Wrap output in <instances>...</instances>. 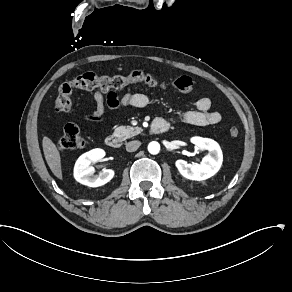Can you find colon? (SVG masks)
I'll return each instance as SVG.
<instances>
[{"instance_id":"colon-1","label":"colon","mask_w":292,"mask_h":292,"mask_svg":"<svg viewBox=\"0 0 292 292\" xmlns=\"http://www.w3.org/2000/svg\"><path fill=\"white\" fill-rule=\"evenodd\" d=\"M133 83H144L150 87L162 90H178L186 94L195 91L194 82L187 75H182L174 80H163L159 79L154 72L144 69H132L126 75L116 76H103L93 72H87L60 85L55 99V109L62 114L69 113L73 105V93L76 90L122 89ZM229 134L235 138L239 135V129L236 126H232L229 130ZM84 145L85 141L78 127L68 125L63 129L58 141L59 149L77 150L83 148Z\"/></svg>"}]
</instances>
